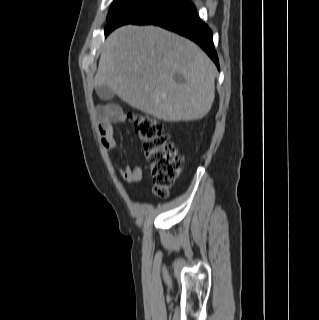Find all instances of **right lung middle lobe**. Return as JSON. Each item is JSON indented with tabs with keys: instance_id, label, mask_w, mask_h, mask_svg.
Returning <instances> with one entry per match:
<instances>
[{
	"instance_id": "right-lung-middle-lobe-1",
	"label": "right lung middle lobe",
	"mask_w": 319,
	"mask_h": 320,
	"mask_svg": "<svg viewBox=\"0 0 319 320\" xmlns=\"http://www.w3.org/2000/svg\"><path fill=\"white\" fill-rule=\"evenodd\" d=\"M176 2L178 0H115L107 16L108 24L105 32L123 24L133 23L149 13L165 9Z\"/></svg>"
}]
</instances>
